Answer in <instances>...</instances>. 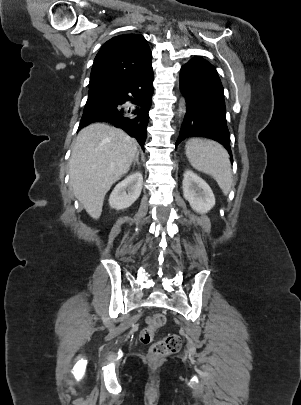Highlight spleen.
<instances>
[{"mask_svg":"<svg viewBox=\"0 0 301 405\" xmlns=\"http://www.w3.org/2000/svg\"><path fill=\"white\" fill-rule=\"evenodd\" d=\"M185 152L196 170L212 176L223 193L228 194L232 184L231 164L227 151L220 144L193 138L186 143Z\"/></svg>","mask_w":301,"mask_h":405,"instance_id":"spleen-1","label":"spleen"}]
</instances>
